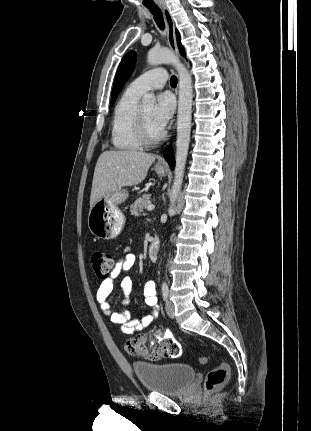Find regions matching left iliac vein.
<instances>
[{
    "mask_svg": "<svg viewBox=\"0 0 311 431\" xmlns=\"http://www.w3.org/2000/svg\"><path fill=\"white\" fill-rule=\"evenodd\" d=\"M165 309H166V313L170 318H174L175 317V307L174 304L167 300L166 301V305H165Z\"/></svg>",
    "mask_w": 311,
    "mask_h": 431,
    "instance_id": "1",
    "label": "left iliac vein"
}]
</instances>
